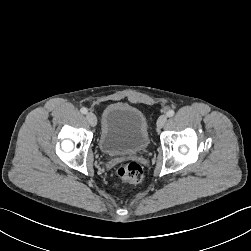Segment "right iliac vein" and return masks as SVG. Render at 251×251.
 <instances>
[{"label": "right iliac vein", "mask_w": 251, "mask_h": 251, "mask_svg": "<svg viewBox=\"0 0 251 251\" xmlns=\"http://www.w3.org/2000/svg\"><path fill=\"white\" fill-rule=\"evenodd\" d=\"M86 120L91 126H96L97 124V118L92 112L86 114Z\"/></svg>", "instance_id": "1"}]
</instances>
